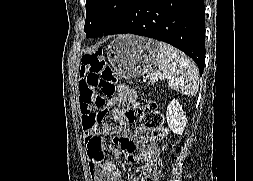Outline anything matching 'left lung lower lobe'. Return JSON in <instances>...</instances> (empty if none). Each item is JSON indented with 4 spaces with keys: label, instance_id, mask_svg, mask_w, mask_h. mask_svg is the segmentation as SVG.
<instances>
[{
    "label": "left lung lower lobe",
    "instance_id": "0a47b994",
    "mask_svg": "<svg viewBox=\"0 0 253 181\" xmlns=\"http://www.w3.org/2000/svg\"><path fill=\"white\" fill-rule=\"evenodd\" d=\"M204 0H132L103 35L131 33L169 43L190 56L200 75L205 63Z\"/></svg>",
    "mask_w": 253,
    "mask_h": 181
}]
</instances>
